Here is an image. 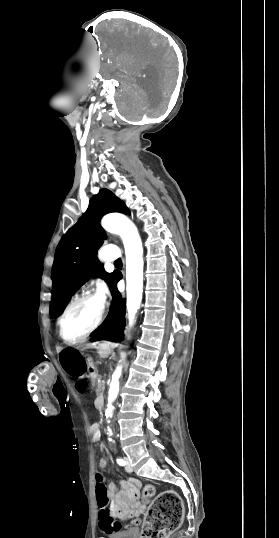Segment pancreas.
Instances as JSON below:
<instances>
[{
    "mask_svg": "<svg viewBox=\"0 0 279 538\" xmlns=\"http://www.w3.org/2000/svg\"><path fill=\"white\" fill-rule=\"evenodd\" d=\"M98 387H99L98 395L100 397L105 396V388L107 387V384H106V381L104 379H100L98 381Z\"/></svg>",
    "mask_w": 279,
    "mask_h": 538,
    "instance_id": "pancreas-1",
    "label": "pancreas"
}]
</instances>
